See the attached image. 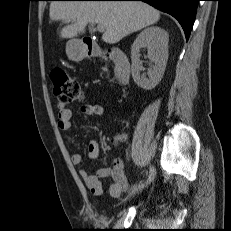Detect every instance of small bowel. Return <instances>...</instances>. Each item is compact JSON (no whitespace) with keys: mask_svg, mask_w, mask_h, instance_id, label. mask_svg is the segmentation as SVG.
Listing matches in <instances>:
<instances>
[{"mask_svg":"<svg viewBox=\"0 0 231 231\" xmlns=\"http://www.w3.org/2000/svg\"><path fill=\"white\" fill-rule=\"evenodd\" d=\"M81 112L86 116L97 117L103 114V107L98 104H86L81 107ZM72 112L64 105H59L58 109V128L61 131L67 132L71 130ZM125 139V135L118 136L114 139L113 143H117ZM100 155V144L97 140H91L88 144V157L95 160ZM71 163L73 165H79L82 161L80 153H72L70 156ZM79 175L83 179L87 188L94 196H100L103 194L102 180L105 178H111L112 182L108 186L107 193L113 198H120L123 192L129 191L130 186L128 184L124 165L121 160L116 159L112 168L99 167L91 174L85 169L79 170Z\"/></svg>","mask_w":231,"mask_h":231,"instance_id":"1","label":"small bowel"}]
</instances>
